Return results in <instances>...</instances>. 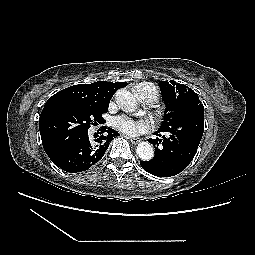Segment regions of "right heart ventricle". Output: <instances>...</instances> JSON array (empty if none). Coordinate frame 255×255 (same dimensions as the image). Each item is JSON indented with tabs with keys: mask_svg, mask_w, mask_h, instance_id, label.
<instances>
[{
	"mask_svg": "<svg viewBox=\"0 0 255 255\" xmlns=\"http://www.w3.org/2000/svg\"><path fill=\"white\" fill-rule=\"evenodd\" d=\"M148 84H150V83H148ZM150 86L153 87L157 91L156 87L153 84H150Z\"/></svg>",
	"mask_w": 255,
	"mask_h": 255,
	"instance_id": "obj_1",
	"label": "right heart ventricle"
}]
</instances>
